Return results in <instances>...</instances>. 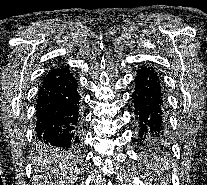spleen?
Returning <instances> with one entry per match:
<instances>
[{"mask_svg": "<svg viewBox=\"0 0 207 185\" xmlns=\"http://www.w3.org/2000/svg\"><path fill=\"white\" fill-rule=\"evenodd\" d=\"M155 179H167V174H155Z\"/></svg>", "mask_w": 207, "mask_h": 185, "instance_id": "3e777b00", "label": "spleen"}]
</instances>
